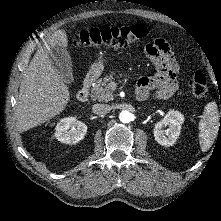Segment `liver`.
<instances>
[{
  "label": "liver",
  "mask_w": 221,
  "mask_h": 221,
  "mask_svg": "<svg viewBox=\"0 0 221 221\" xmlns=\"http://www.w3.org/2000/svg\"><path fill=\"white\" fill-rule=\"evenodd\" d=\"M68 46L64 30H56L41 46L26 69L19 90L16 127L27 131L62 112L70 100V92L50 59V50Z\"/></svg>",
  "instance_id": "6515ba94"
}]
</instances>
